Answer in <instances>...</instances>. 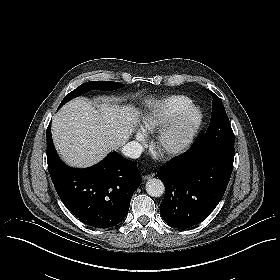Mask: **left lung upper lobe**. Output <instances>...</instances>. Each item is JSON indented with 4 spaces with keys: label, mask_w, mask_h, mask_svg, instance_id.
<instances>
[{
    "label": "left lung upper lobe",
    "mask_w": 280,
    "mask_h": 280,
    "mask_svg": "<svg viewBox=\"0 0 280 280\" xmlns=\"http://www.w3.org/2000/svg\"><path fill=\"white\" fill-rule=\"evenodd\" d=\"M212 115L206 133H202L192 146L191 150H222L234 153V133L226 114L222 100L211 92Z\"/></svg>",
    "instance_id": "5c2ea615"
}]
</instances>
